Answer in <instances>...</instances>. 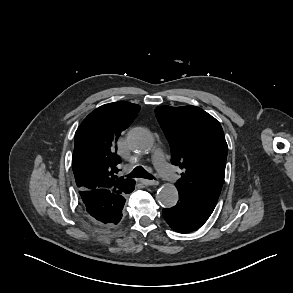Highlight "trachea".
Wrapping results in <instances>:
<instances>
[{
    "instance_id": "3493384b",
    "label": "trachea",
    "mask_w": 293,
    "mask_h": 293,
    "mask_svg": "<svg viewBox=\"0 0 293 293\" xmlns=\"http://www.w3.org/2000/svg\"><path fill=\"white\" fill-rule=\"evenodd\" d=\"M127 177L129 178H145V179H152L149 173L142 167L137 166Z\"/></svg>"
}]
</instances>
